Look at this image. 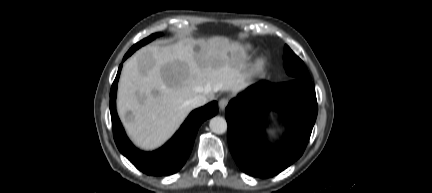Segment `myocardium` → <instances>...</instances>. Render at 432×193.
<instances>
[{"mask_svg":"<svg viewBox=\"0 0 432 193\" xmlns=\"http://www.w3.org/2000/svg\"><path fill=\"white\" fill-rule=\"evenodd\" d=\"M265 59L264 58H259L255 64V70L259 71L261 69H263V67L265 66Z\"/></svg>","mask_w":432,"mask_h":193,"instance_id":"myocardium-1","label":"myocardium"}]
</instances>
